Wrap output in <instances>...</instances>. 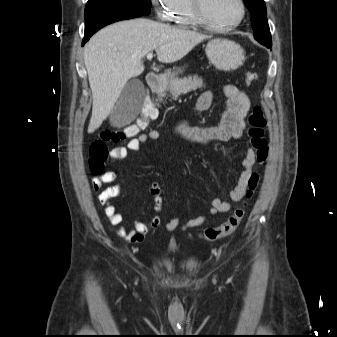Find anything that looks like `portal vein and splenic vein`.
Instances as JSON below:
<instances>
[{
    "instance_id": "obj_1",
    "label": "portal vein and splenic vein",
    "mask_w": 337,
    "mask_h": 337,
    "mask_svg": "<svg viewBox=\"0 0 337 337\" xmlns=\"http://www.w3.org/2000/svg\"><path fill=\"white\" fill-rule=\"evenodd\" d=\"M152 58H153V53H151V52H150V53H148V54H147V59H149V60H150V59H152Z\"/></svg>"
}]
</instances>
